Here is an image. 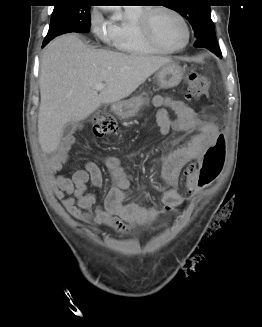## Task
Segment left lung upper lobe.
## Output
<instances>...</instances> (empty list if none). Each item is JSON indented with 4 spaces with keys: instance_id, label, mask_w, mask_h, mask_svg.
Returning a JSON list of instances; mask_svg holds the SVG:
<instances>
[{
    "instance_id": "1",
    "label": "left lung upper lobe",
    "mask_w": 262,
    "mask_h": 327,
    "mask_svg": "<svg viewBox=\"0 0 262 327\" xmlns=\"http://www.w3.org/2000/svg\"><path fill=\"white\" fill-rule=\"evenodd\" d=\"M181 2L180 0L170 1L171 9L179 12L190 22L196 38L209 30H214L210 6L204 4V0H193L192 2L195 3L193 5L179 4Z\"/></svg>"
}]
</instances>
